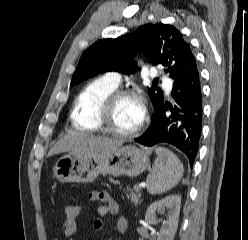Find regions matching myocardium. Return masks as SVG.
I'll return each mask as SVG.
<instances>
[{"label":"myocardium","instance_id":"1","mask_svg":"<svg viewBox=\"0 0 248 240\" xmlns=\"http://www.w3.org/2000/svg\"><path fill=\"white\" fill-rule=\"evenodd\" d=\"M126 97H133L139 100L142 110L144 112V116L146 115V108H145L143 99L137 91L132 90V89H115L103 100V102L98 108L97 125L102 132L107 133L112 136L121 137V138H131L140 133L143 127L144 117L142 121L138 124V126L129 132H122V131L114 129L111 126L110 115H111L112 110L114 109V107L116 106L117 102L120 99L126 98Z\"/></svg>","mask_w":248,"mask_h":240}]
</instances>
